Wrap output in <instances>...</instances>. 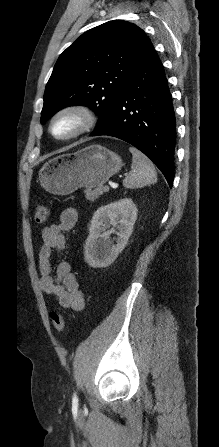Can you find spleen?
I'll list each match as a JSON object with an SVG mask.
<instances>
[{
	"instance_id": "spleen-1",
	"label": "spleen",
	"mask_w": 219,
	"mask_h": 447,
	"mask_svg": "<svg viewBox=\"0 0 219 447\" xmlns=\"http://www.w3.org/2000/svg\"><path fill=\"white\" fill-rule=\"evenodd\" d=\"M132 153V172L123 180L125 188H141L157 182V173L153 163L139 150L130 147Z\"/></svg>"
}]
</instances>
